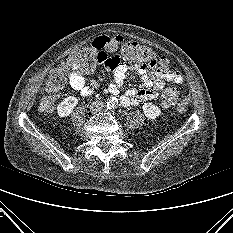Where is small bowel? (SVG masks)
Instances as JSON below:
<instances>
[{
	"label": "small bowel",
	"mask_w": 233,
	"mask_h": 233,
	"mask_svg": "<svg viewBox=\"0 0 233 233\" xmlns=\"http://www.w3.org/2000/svg\"><path fill=\"white\" fill-rule=\"evenodd\" d=\"M107 37H100L93 42V45L100 44L102 39ZM117 40H123L122 37H116ZM107 69L113 72V81L106 88L105 93L109 95H117L121 92L126 73L129 69L136 71L141 75L145 88L129 89L121 97V103L124 106H135L145 101L152 100L158 97L166 81L176 84L182 82L183 78L179 72L171 71L168 68H151L145 65H132L121 62L119 54H111L102 62ZM70 86L78 91L82 96L92 95L98 88L95 81H91L90 85L86 84L85 78L78 72L72 71L69 75Z\"/></svg>",
	"instance_id": "small-bowel-1"
}]
</instances>
